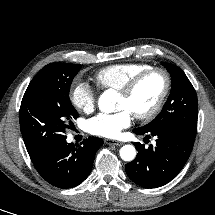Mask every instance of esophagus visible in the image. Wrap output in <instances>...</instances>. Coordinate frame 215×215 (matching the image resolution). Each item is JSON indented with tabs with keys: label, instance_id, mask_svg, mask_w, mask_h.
<instances>
[{
	"label": "esophagus",
	"instance_id": "1",
	"mask_svg": "<svg viewBox=\"0 0 215 215\" xmlns=\"http://www.w3.org/2000/svg\"><path fill=\"white\" fill-rule=\"evenodd\" d=\"M105 143L108 145H115V146L123 145V143L121 141L112 140V139H105Z\"/></svg>",
	"mask_w": 215,
	"mask_h": 215
}]
</instances>
